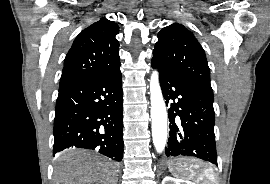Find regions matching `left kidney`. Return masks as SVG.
Returning a JSON list of instances; mask_svg holds the SVG:
<instances>
[{
    "label": "left kidney",
    "instance_id": "obj_1",
    "mask_svg": "<svg viewBox=\"0 0 270 184\" xmlns=\"http://www.w3.org/2000/svg\"><path fill=\"white\" fill-rule=\"evenodd\" d=\"M162 184H194L190 181H184L181 179H175L173 177L170 176H166L163 180H162Z\"/></svg>",
    "mask_w": 270,
    "mask_h": 184
}]
</instances>
